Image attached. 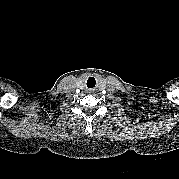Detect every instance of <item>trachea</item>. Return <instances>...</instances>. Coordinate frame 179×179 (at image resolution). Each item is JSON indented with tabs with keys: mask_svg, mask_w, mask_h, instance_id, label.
I'll return each mask as SVG.
<instances>
[{
	"mask_svg": "<svg viewBox=\"0 0 179 179\" xmlns=\"http://www.w3.org/2000/svg\"><path fill=\"white\" fill-rule=\"evenodd\" d=\"M86 85L89 88L95 87V85H96V79H95V77H93V76L88 77Z\"/></svg>",
	"mask_w": 179,
	"mask_h": 179,
	"instance_id": "obj_1",
	"label": "trachea"
}]
</instances>
